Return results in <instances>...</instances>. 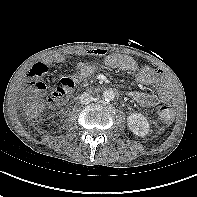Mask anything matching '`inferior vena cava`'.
Instances as JSON below:
<instances>
[{"label":"inferior vena cava","instance_id":"1","mask_svg":"<svg viewBox=\"0 0 197 197\" xmlns=\"http://www.w3.org/2000/svg\"><path fill=\"white\" fill-rule=\"evenodd\" d=\"M79 100L81 104L87 105L93 100V97L89 93L84 92L80 95Z\"/></svg>","mask_w":197,"mask_h":197}]
</instances>
